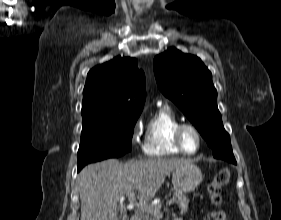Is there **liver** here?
I'll return each instance as SVG.
<instances>
[{"instance_id": "obj_1", "label": "liver", "mask_w": 281, "mask_h": 220, "mask_svg": "<svg viewBox=\"0 0 281 220\" xmlns=\"http://www.w3.org/2000/svg\"><path fill=\"white\" fill-rule=\"evenodd\" d=\"M192 163L174 158L126 163L108 159L85 166L78 177L81 220H119V212L126 210L121 204L125 195L137 191V199L144 204L155 196L170 172Z\"/></svg>"}]
</instances>
